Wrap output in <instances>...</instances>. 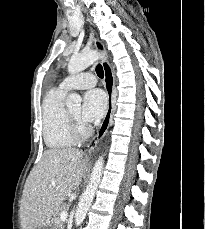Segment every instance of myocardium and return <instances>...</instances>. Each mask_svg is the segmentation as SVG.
Instances as JSON below:
<instances>
[{"label": "myocardium", "instance_id": "1", "mask_svg": "<svg viewBox=\"0 0 205 229\" xmlns=\"http://www.w3.org/2000/svg\"><path fill=\"white\" fill-rule=\"evenodd\" d=\"M68 124L72 136L75 140H82L89 136L90 128L81 119L75 117L70 110H67Z\"/></svg>", "mask_w": 205, "mask_h": 229}]
</instances>
